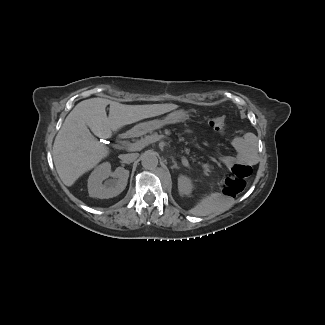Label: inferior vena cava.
I'll use <instances>...</instances> for the list:
<instances>
[{
	"label": "inferior vena cava",
	"mask_w": 325,
	"mask_h": 325,
	"mask_svg": "<svg viewBox=\"0 0 325 325\" xmlns=\"http://www.w3.org/2000/svg\"><path fill=\"white\" fill-rule=\"evenodd\" d=\"M138 157V154L136 153H131V154H122L119 156V158L125 162V163H131L135 161Z\"/></svg>",
	"instance_id": "obj_1"
}]
</instances>
